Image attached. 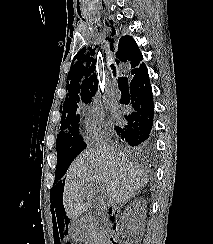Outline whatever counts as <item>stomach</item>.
<instances>
[{"mask_svg":"<svg viewBox=\"0 0 213 244\" xmlns=\"http://www.w3.org/2000/svg\"><path fill=\"white\" fill-rule=\"evenodd\" d=\"M71 236L78 241H81L86 237L84 221H73L71 224Z\"/></svg>","mask_w":213,"mask_h":244,"instance_id":"1","label":"stomach"}]
</instances>
